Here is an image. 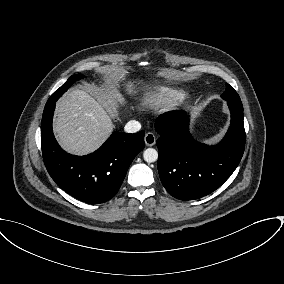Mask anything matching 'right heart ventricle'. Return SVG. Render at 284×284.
Here are the masks:
<instances>
[{
  "mask_svg": "<svg viewBox=\"0 0 284 284\" xmlns=\"http://www.w3.org/2000/svg\"><path fill=\"white\" fill-rule=\"evenodd\" d=\"M183 97L184 93L182 91L167 87H161L149 93L145 97L144 102L147 105H157L178 101Z\"/></svg>",
  "mask_w": 284,
  "mask_h": 284,
  "instance_id": "1",
  "label": "right heart ventricle"
}]
</instances>
